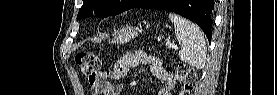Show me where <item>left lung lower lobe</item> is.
<instances>
[{
  "mask_svg": "<svg viewBox=\"0 0 277 95\" xmlns=\"http://www.w3.org/2000/svg\"><path fill=\"white\" fill-rule=\"evenodd\" d=\"M160 0H142L134 8L164 9L175 12L197 23L206 34L212 37L214 0H175L172 5L161 7Z\"/></svg>",
  "mask_w": 277,
  "mask_h": 95,
  "instance_id": "1",
  "label": "left lung lower lobe"
}]
</instances>
